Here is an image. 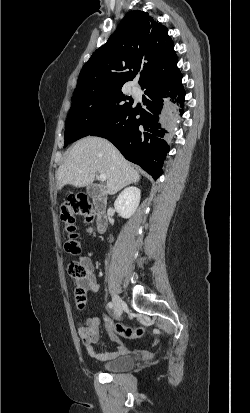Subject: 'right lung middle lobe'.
<instances>
[{
	"instance_id": "1",
	"label": "right lung middle lobe",
	"mask_w": 250,
	"mask_h": 413,
	"mask_svg": "<svg viewBox=\"0 0 250 413\" xmlns=\"http://www.w3.org/2000/svg\"><path fill=\"white\" fill-rule=\"evenodd\" d=\"M132 104V97L124 96L121 88L74 94L64 147L100 129Z\"/></svg>"
}]
</instances>
